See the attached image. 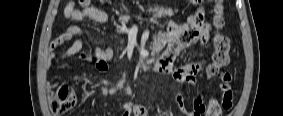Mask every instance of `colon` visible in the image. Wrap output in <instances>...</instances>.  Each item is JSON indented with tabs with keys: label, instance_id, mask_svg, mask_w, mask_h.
<instances>
[{
	"label": "colon",
	"instance_id": "1",
	"mask_svg": "<svg viewBox=\"0 0 283 116\" xmlns=\"http://www.w3.org/2000/svg\"><path fill=\"white\" fill-rule=\"evenodd\" d=\"M79 2L83 6H87L90 1L80 0ZM212 12V23L216 33L213 38L214 53L212 62L207 66L206 73L209 78L221 75L226 82H230L231 75L227 72L221 73V70L230 63V39L220 32L224 26L222 0L214 1ZM74 102L75 95L71 88L67 84H61L51 93L50 110L54 115H62L72 108ZM231 103L230 98L225 101L211 99L208 104L209 115L220 116L223 109H230Z\"/></svg>",
	"mask_w": 283,
	"mask_h": 116
}]
</instances>
